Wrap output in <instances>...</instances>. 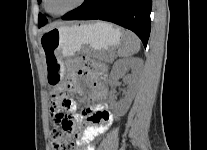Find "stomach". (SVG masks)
I'll return each mask as SVG.
<instances>
[{
  "label": "stomach",
  "instance_id": "1",
  "mask_svg": "<svg viewBox=\"0 0 207 150\" xmlns=\"http://www.w3.org/2000/svg\"><path fill=\"white\" fill-rule=\"evenodd\" d=\"M122 41L121 29L103 21L62 24L44 32L40 45L46 62L48 82L59 86L65 77L64 60L74 58L83 47L98 57L113 52Z\"/></svg>",
  "mask_w": 207,
  "mask_h": 150
}]
</instances>
